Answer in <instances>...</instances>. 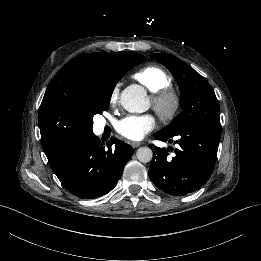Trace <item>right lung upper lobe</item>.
<instances>
[{
	"label": "right lung upper lobe",
	"instance_id": "1",
	"mask_svg": "<svg viewBox=\"0 0 261 261\" xmlns=\"http://www.w3.org/2000/svg\"><path fill=\"white\" fill-rule=\"evenodd\" d=\"M123 53L81 54L51 80L38 114L41 143L48 159L92 133L93 116L88 106L91 82L99 70Z\"/></svg>",
	"mask_w": 261,
	"mask_h": 261
}]
</instances>
